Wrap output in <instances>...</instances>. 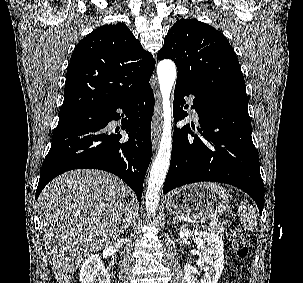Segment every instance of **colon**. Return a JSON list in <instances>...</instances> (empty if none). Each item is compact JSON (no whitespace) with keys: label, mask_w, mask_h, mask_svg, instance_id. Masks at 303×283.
<instances>
[{"label":"colon","mask_w":303,"mask_h":283,"mask_svg":"<svg viewBox=\"0 0 303 283\" xmlns=\"http://www.w3.org/2000/svg\"><path fill=\"white\" fill-rule=\"evenodd\" d=\"M232 247L239 258H246L249 252L248 239L240 228H235L231 234Z\"/></svg>","instance_id":"5ec220e1"}]
</instances>
